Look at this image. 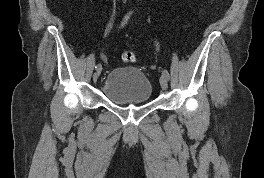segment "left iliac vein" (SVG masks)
Listing matches in <instances>:
<instances>
[{
  "instance_id": "1",
  "label": "left iliac vein",
  "mask_w": 264,
  "mask_h": 178,
  "mask_svg": "<svg viewBox=\"0 0 264 178\" xmlns=\"http://www.w3.org/2000/svg\"><path fill=\"white\" fill-rule=\"evenodd\" d=\"M160 85L163 90H166L168 88V78L163 74L160 77Z\"/></svg>"
}]
</instances>
